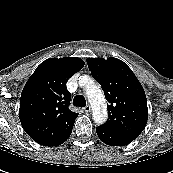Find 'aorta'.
I'll return each instance as SVG.
<instances>
[{
    "mask_svg": "<svg viewBox=\"0 0 173 173\" xmlns=\"http://www.w3.org/2000/svg\"><path fill=\"white\" fill-rule=\"evenodd\" d=\"M79 84L86 88V95L93 110L94 122L96 124L105 123L108 114L106 109V101L100 87L95 85L93 80L87 75L79 77Z\"/></svg>",
    "mask_w": 173,
    "mask_h": 173,
    "instance_id": "762f6f07",
    "label": "aorta"
}]
</instances>
